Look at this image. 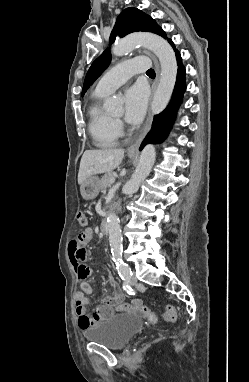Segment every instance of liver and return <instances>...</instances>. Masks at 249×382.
<instances>
[{
    "mask_svg": "<svg viewBox=\"0 0 249 382\" xmlns=\"http://www.w3.org/2000/svg\"><path fill=\"white\" fill-rule=\"evenodd\" d=\"M124 157V149L86 150L81 158L78 184L92 175L110 172L117 168Z\"/></svg>",
    "mask_w": 249,
    "mask_h": 382,
    "instance_id": "liver-1",
    "label": "liver"
}]
</instances>
